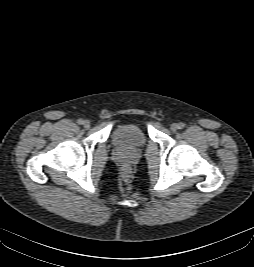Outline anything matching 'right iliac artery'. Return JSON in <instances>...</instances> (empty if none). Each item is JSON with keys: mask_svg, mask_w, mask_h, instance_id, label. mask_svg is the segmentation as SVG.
Here are the masks:
<instances>
[{"mask_svg": "<svg viewBox=\"0 0 254 267\" xmlns=\"http://www.w3.org/2000/svg\"><path fill=\"white\" fill-rule=\"evenodd\" d=\"M83 122H84V121H83L82 119H78V120H77V123H78L79 125H82Z\"/></svg>", "mask_w": 254, "mask_h": 267, "instance_id": "82829eb1", "label": "right iliac artery"}]
</instances>
